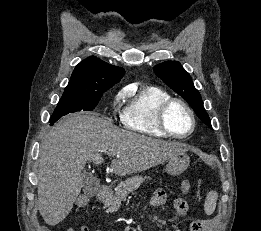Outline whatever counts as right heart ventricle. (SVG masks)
<instances>
[{"label": "right heart ventricle", "mask_w": 261, "mask_h": 231, "mask_svg": "<svg viewBox=\"0 0 261 231\" xmlns=\"http://www.w3.org/2000/svg\"><path fill=\"white\" fill-rule=\"evenodd\" d=\"M128 101L121 113V121L125 128L150 137H167L158 126L157 113L160 105L172 98L158 87H147L134 91L125 89Z\"/></svg>", "instance_id": "right-heart-ventricle-1"}]
</instances>
